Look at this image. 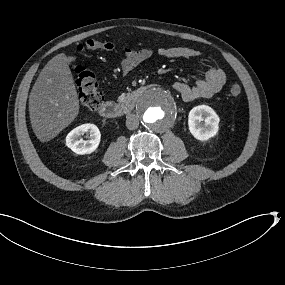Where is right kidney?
Wrapping results in <instances>:
<instances>
[{
    "label": "right kidney",
    "instance_id": "obj_1",
    "mask_svg": "<svg viewBox=\"0 0 285 285\" xmlns=\"http://www.w3.org/2000/svg\"><path fill=\"white\" fill-rule=\"evenodd\" d=\"M89 133V140L79 139ZM100 131L94 124H83L74 128L66 137V145L77 154H90L96 150L100 143Z\"/></svg>",
    "mask_w": 285,
    "mask_h": 285
}]
</instances>
